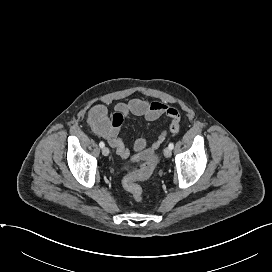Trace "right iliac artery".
<instances>
[{"label":"right iliac artery","instance_id":"obj_1","mask_svg":"<svg viewBox=\"0 0 272 272\" xmlns=\"http://www.w3.org/2000/svg\"><path fill=\"white\" fill-rule=\"evenodd\" d=\"M99 146H100V148H103V147L105 146L104 142L101 141V142L99 143Z\"/></svg>","mask_w":272,"mask_h":272}]
</instances>
